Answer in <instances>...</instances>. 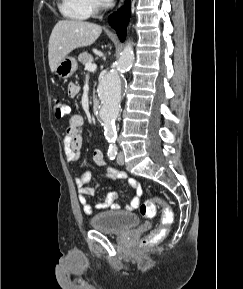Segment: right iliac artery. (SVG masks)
Wrapping results in <instances>:
<instances>
[{
	"label": "right iliac artery",
	"mask_w": 243,
	"mask_h": 289,
	"mask_svg": "<svg viewBox=\"0 0 243 289\" xmlns=\"http://www.w3.org/2000/svg\"><path fill=\"white\" fill-rule=\"evenodd\" d=\"M116 155V151H108V157L110 158V160H114L116 158Z\"/></svg>",
	"instance_id": "1"
}]
</instances>
